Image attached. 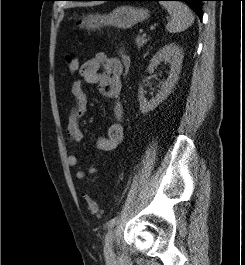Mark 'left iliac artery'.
Instances as JSON below:
<instances>
[{
	"label": "left iliac artery",
	"mask_w": 245,
	"mask_h": 265,
	"mask_svg": "<svg viewBox=\"0 0 245 265\" xmlns=\"http://www.w3.org/2000/svg\"><path fill=\"white\" fill-rule=\"evenodd\" d=\"M117 218H112L108 223L107 226L108 228H112L114 227V225L116 224Z\"/></svg>",
	"instance_id": "44dca946"
}]
</instances>
